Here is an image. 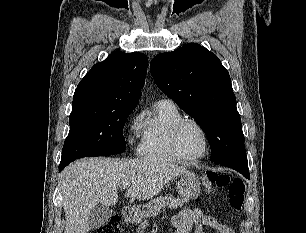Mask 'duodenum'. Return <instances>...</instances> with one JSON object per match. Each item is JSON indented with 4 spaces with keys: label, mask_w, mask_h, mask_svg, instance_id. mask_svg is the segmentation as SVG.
<instances>
[{
    "label": "duodenum",
    "mask_w": 306,
    "mask_h": 233,
    "mask_svg": "<svg viewBox=\"0 0 306 233\" xmlns=\"http://www.w3.org/2000/svg\"><path fill=\"white\" fill-rule=\"evenodd\" d=\"M122 215L127 223H133L135 219V210L131 207H124L122 210Z\"/></svg>",
    "instance_id": "410a0bca"
}]
</instances>
